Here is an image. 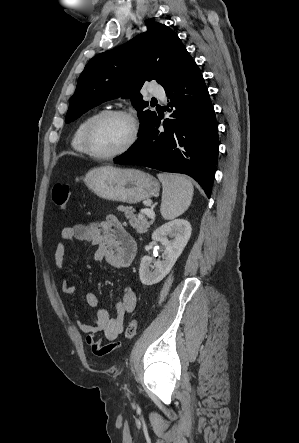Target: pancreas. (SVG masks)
I'll use <instances>...</instances> for the list:
<instances>
[{"label": "pancreas", "mask_w": 299, "mask_h": 443, "mask_svg": "<svg viewBox=\"0 0 299 443\" xmlns=\"http://www.w3.org/2000/svg\"><path fill=\"white\" fill-rule=\"evenodd\" d=\"M120 211H122L127 219H129L130 225L137 231V233L144 234L147 232L153 221H148L146 214L142 211L140 214L135 215V210L132 207L121 206Z\"/></svg>", "instance_id": "pancreas-1"}]
</instances>
